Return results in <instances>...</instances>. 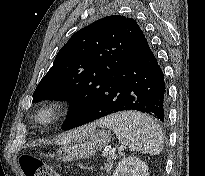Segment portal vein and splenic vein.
<instances>
[{
    "mask_svg": "<svg viewBox=\"0 0 205 176\" xmlns=\"http://www.w3.org/2000/svg\"><path fill=\"white\" fill-rule=\"evenodd\" d=\"M109 155H115V148H112V149L109 151Z\"/></svg>",
    "mask_w": 205,
    "mask_h": 176,
    "instance_id": "1",
    "label": "portal vein and splenic vein"
}]
</instances>
